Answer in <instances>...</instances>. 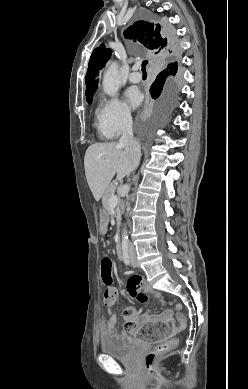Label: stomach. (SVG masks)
<instances>
[{
  "instance_id": "stomach-1",
  "label": "stomach",
  "mask_w": 248,
  "mask_h": 389,
  "mask_svg": "<svg viewBox=\"0 0 248 389\" xmlns=\"http://www.w3.org/2000/svg\"><path fill=\"white\" fill-rule=\"evenodd\" d=\"M101 213V220H100V229L99 234L105 235L107 233V220L110 218V215L108 214V208L107 207H101L100 208Z\"/></svg>"
}]
</instances>
